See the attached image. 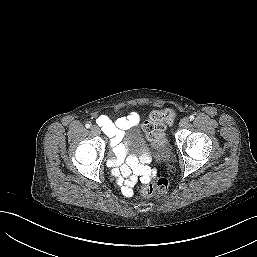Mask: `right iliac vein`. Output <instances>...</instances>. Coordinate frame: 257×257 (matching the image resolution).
Segmentation results:
<instances>
[{"mask_svg":"<svg viewBox=\"0 0 257 257\" xmlns=\"http://www.w3.org/2000/svg\"><path fill=\"white\" fill-rule=\"evenodd\" d=\"M91 132H92L93 134H95V135H99V134H100V129H99L98 126L93 125V126L91 127Z\"/></svg>","mask_w":257,"mask_h":257,"instance_id":"1","label":"right iliac vein"}]
</instances>
